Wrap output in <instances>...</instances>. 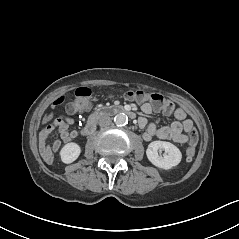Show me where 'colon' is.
<instances>
[{"mask_svg": "<svg viewBox=\"0 0 239 239\" xmlns=\"http://www.w3.org/2000/svg\"><path fill=\"white\" fill-rule=\"evenodd\" d=\"M129 99L137 102H151V104L163 112H173L174 104L165 99L158 93H146L143 91H129L126 93ZM92 91L88 87H80L75 92V97L72 102L69 103L67 110L71 114H75L87 109L91 102ZM63 102V98H59L54 102V105H59ZM198 141V135L195 130H192L188 136V148L186 151L187 161H191L195 155V147Z\"/></svg>", "mask_w": 239, "mask_h": 239, "instance_id": "5ec220e1", "label": "colon"}]
</instances>
